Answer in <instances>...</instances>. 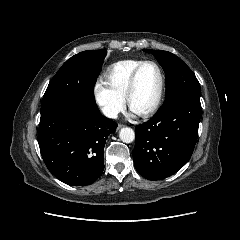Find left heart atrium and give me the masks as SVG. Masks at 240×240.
<instances>
[{"instance_id": "left-heart-atrium-1", "label": "left heart atrium", "mask_w": 240, "mask_h": 240, "mask_svg": "<svg viewBox=\"0 0 240 240\" xmlns=\"http://www.w3.org/2000/svg\"><path fill=\"white\" fill-rule=\"evenodd\" d=\"M131 111H132V113H134V114L136 113L133 109H131Z\"/></svg>"}]
</instances>
